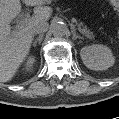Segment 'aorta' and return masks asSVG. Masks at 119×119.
Wrapping results in <instances>:
<instances>
[{"mask_svg": "<svg viewBox=\"0 0 119 119\" xmlns=\"http://www.w3.org/2000/svg\"><path fill=\"white\" fill-rule=\"evenodd\" d=\"M51 32L56 37L65 36L68 33V28L62 21H54L50 26Z\"/></svg>", "mask_w": 119, "mask_h": 119, "instance_id": "obj_1", "label": "aorta"}]
</instances>
